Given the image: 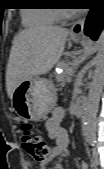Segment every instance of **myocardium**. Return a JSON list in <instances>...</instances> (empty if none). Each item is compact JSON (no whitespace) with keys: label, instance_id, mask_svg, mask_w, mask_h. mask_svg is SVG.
Wrapping results in <instances>:
<instances>
[{"label":"myocardium","instance_id":"obj_1","mask_svg":"<svg viewBox=\"0 0 104 169\" xmlns=\"http://www.w3.org/2000/svg\"><path fill=\"white\" fill-rule=\"evenodd\" d=\"M57 12H58L59 17H62V18H69L72 15V12L66 9H57Z\"/></svg>","mask_w":104,"mask_h":169}]
</instances>
